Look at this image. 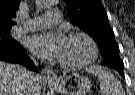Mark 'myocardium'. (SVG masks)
Here are the masks:
<instances>
[{
    "label": "myocardium",
    "mask_w": 135,
    "mask_h": 95,
    "mask_svg": "<svg viewBox=\"0 0 135 95\" xmlns=\"http://www.w3.org/2000/svg\"><path fill=\"white\" fill-rule=\"evenodd\" d=\"M67 38L68 39L81 38V39L85 40L89 46L90 55L87 59H85L84 61L78 62V63L61 62L60 64L63 68H65V69H80V68L88 66L89 64L93 63L97 59L98 53H99L97 44L92 39V37H90L88 34H86L84 32H73V33H70Z\"/></svg>",
    "instance_id": "1"
}]
</instances>
